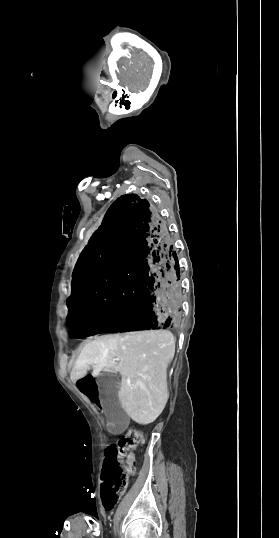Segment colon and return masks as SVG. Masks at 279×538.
Masks as SVG:
<instances>
[{
    "label": "colon",
    "mask_w": 279,
    "mask_h": 538,
    "mask_svg": "<svg viewBox=\"0 0 279 538\" xmlns=\"http://www.w3.org/2000/svg\"><path fill=\"white\" fill-rule=\"evenodd\" d=\"M144 442L143 434L137 429H129L118 441L117 447L105 450L102 470V501L105 509L111 510L125 491L132 469L121 466L119 458Z\"/></svg>",
    "instance_id": "5ec220e1"
}]
</instances>
